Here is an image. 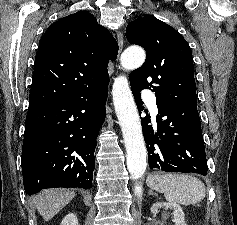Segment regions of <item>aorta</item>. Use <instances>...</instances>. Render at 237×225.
Wrapping results in <instances>:
<instances>
[{
	"label": "aorta",
	"mask_w": 237,
	"mask_h": 225,
	"mask_svg": "<svg viewBox=\"0 0 237 225\" xmlns=\"http://www.w3.org/2000/svg\"><path fill=\"white\" fill-rule=\"evenodd\" d=\"M145 51L140 47H129L121 55V65L126 70L139 68L145 61ZM115 112L121 127L127 153V168L134 180L141 178L147 167V150L137 107L125 76L115 78L112 87ZM135 192L141 194L137 185Z\"/></svg>",
	"instance_id": "aorta-1"
}]
</instances>
